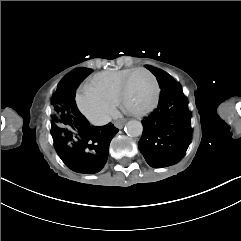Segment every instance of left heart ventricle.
Returning <instances> with one entry per match:
<instances>
[{"label":"left heart ventricle","instance_id":"left-heart-ventricle-1","mask_svg":"<svg viewBox=\"0 0 241 241\" xmlns=\"http://www.w3.org/2000/svg\"><path fill=\"white\" fill-rule=\"evenodd\" d=\"M125 103L130 111L142 110L151 102L153 89L144 73L134 75L131 80L124 83Z\"/></svg>","mask_w":241,"mask_h":241}]
</instances>
